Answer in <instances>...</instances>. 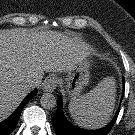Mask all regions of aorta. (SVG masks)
Returning a JSON list of instances; mask_svg holds the SVG:
<instances>
[{"mask_svg": "<svg viewBox=\"0 0 135 135\" xmlns=\"http://www.w3.org/2000/svg\"><path fill=\"white\" fill-rule=\"evenodd\" d=\"M40 104L45 109H52L56 106V98L51 93H44L41 96Z\"/></svg>", "mask_w": 135, "mask_h": 135, "instance_id": "aorta-1", "label": "aorta"}]
</instances>
